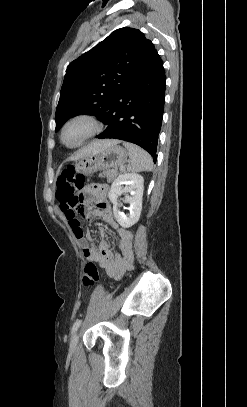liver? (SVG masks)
<instances>
[{
  "label": "liver",
  "instance_id": "obj_1",
  "mask_svg": "<svg viewBox=\"0 0 247 407\" xmlns=\"http://www.w3.org/2000/svg\"><path fill=\"white\" fill-rule=\"evenodd\" d=\"M118 143L117 140H98L89 143L87 146L83 147L82 149L78 150L72 157H70L71 161H77L83 157L96 154L103 150L104 148L116 145Z\"/></svg>",
  "mask_w": 247,
  "mask_h": 407
}]
</instances>
